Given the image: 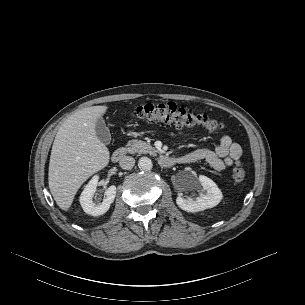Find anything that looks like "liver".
Here are the masks:
<instances>
[{
	"label": "liver",
	"mask_w": 305,
	"mask_h": 305,
	"mask_svg": "<svg viewBox=\"0 0 305 305\" xmlns=\"http://www.w3.org/2000/svg\"><path fill=\"white\" fill-rule=\"evenodd\" d=\"M108 107L91 106L70 116L53 142L48 181L57 205L68 211L80 186L109 163V150L96 135V123Z\"/></svg>",
	"instance_id": "obj_1"
}]
</instances>
